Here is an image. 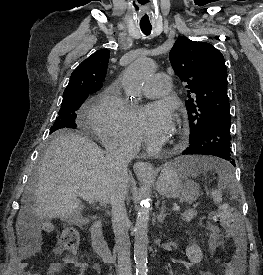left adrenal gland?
Instances as JSON below:
<instances>
[{"instance_id": "obj_1", "label": "left adrenal gland", "mask_w": 263, "mask_h": 275, "mask_svg": "<svg viewBox=\"0 0 263 275\" xmlns=\"http://www.w3.org/2000/svg\"><path fill=\"white\" fill-rule=\"evenodd\" d=\"M167 215L168 213H165V204H163L160 209V214L157 216L158 222L163 223Z\"/></svg>"}]
</instances>
